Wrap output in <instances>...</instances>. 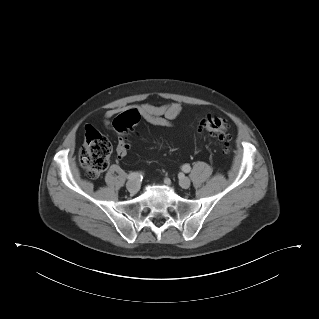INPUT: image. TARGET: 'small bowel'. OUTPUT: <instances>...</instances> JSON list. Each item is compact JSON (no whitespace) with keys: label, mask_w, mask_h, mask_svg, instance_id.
Masks as SVG:
<instances>
[{"label":"small bowel","mask_w":319,"mask_h":319,"mask_svg":"<svg viewBox=\"0 0 319 319\" xmlns=\"http://www.w3.org/2000/svg\"><path fill=\"white\" fill-rule=\"evenodd\" d=\"M138 110L143 118L151 125L158 127H172L173 120L181 113L182 106L177 102H171L162 105L144 103L138 106ZM115 114L114 110L106 112L104 124L108 129H112L111 117ZM129 149L126 139L119 138L117 144V153L119 156H125Z\"/></svg>","instance_id":"1"}]
</instances>
